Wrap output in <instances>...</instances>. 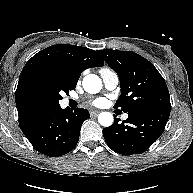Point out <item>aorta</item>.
<instances>
[{
  "label": "aorta",
  "instance_id": "obj_1",
  "mask_svg": "<svg viewBox=\"0 0 193 193\" xmlns=\"http://www.w3.org/2000/svg\"><path fill=\"white\" fill-rule=\"evenodd\" d=\"M83 88L90 94H96L102 89V81L95 74H88L83 78ZM113 115L110 112H102L98 116V122L104 126L109 127L113 124Z\"/></svg>",
  "mask_w": 193,
  "mask_h": 193
}]
</instances>
